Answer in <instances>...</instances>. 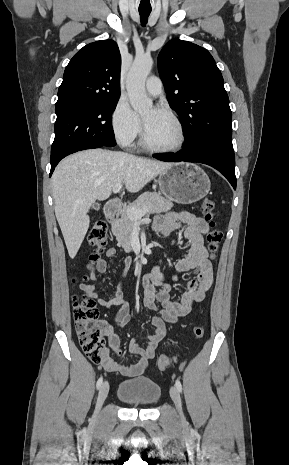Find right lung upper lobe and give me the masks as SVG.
Here are the masks:
<instances>
[{
	"label": "right lung upper lobe",
	"instance_id": "cb5924a9",
	"mask_svg": "<svg viewBox=\"0 0 289 465\" xmlns=\"http://www.w3.org/2000/svg\"><path fill=\"white\" fill-rule=\"evenodd\" d=\"M119 48L113 40L84 46L67 65L56 106L119 99Z\"/></svg>",
	"mask_w": 289,
	"mask_h": 465
}]
</instances>
